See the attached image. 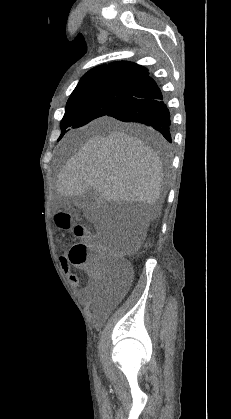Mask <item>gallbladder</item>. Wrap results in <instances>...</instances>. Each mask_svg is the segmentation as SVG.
<instances>
[{"label": "gallbladder", "instance_id": "gallbladder-1", "mask_svg": "<svg viewBox=\"0 0 231 419\" xmlns=\"http://www.w3.org/2000/svg\"><path fill=\"white\" fill-rule=\"evenodd\" d=\"M73 203L85 207V211L90 213L97 209L100 203V196L96 190L89 189L82 196L75 198Z\"/></svg>", "mask_w": 231, "mask_h": 419}]
</instances>
